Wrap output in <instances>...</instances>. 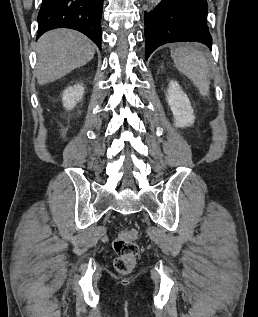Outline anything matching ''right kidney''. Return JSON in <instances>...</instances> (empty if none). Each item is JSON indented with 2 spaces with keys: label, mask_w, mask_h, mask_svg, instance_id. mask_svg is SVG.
Segmentation results:
<instances>
[{
  "label": "right kidney",
  "mask_w": 258,
  "mask_h": 317,
  "mask_svg": "<svg viewBox=\"0 0 258 317\" xmlns=\"http://www.w3.org/2000/svg\"><path fill=\"white\" fill-rule=\"evenodd\" d=\"M84 94V86L82 84H74V86H68L63 92L62 100L63 106H66L67 110L74 108L78 100H81Z\"/></svg>",
  "instance_id": "right-kidney-1"
}]
</instances>
